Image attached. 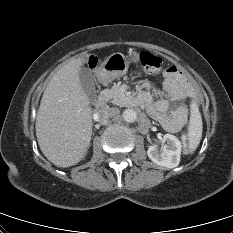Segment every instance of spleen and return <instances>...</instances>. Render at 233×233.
I'll use <instances>...</instances> for the list:
<instances>
[{
  "mask_svg": "<svg viewBox=\"0 0 233 233\" xmlns=\"http://www.w3.org/2000/svg\"><path fill=\"white\" fill-rule=\"evenodd\" d=\"M202 131L203 123L199 108L195 103H192L190 106V121L187 133V150L189 153H194L197 149L202 138Z\"/></svg>",
  "mask_w": 233,
  "mask_h": 233,
  "instance_id": "1",
  "label": "spleen"
}]
</instances>
